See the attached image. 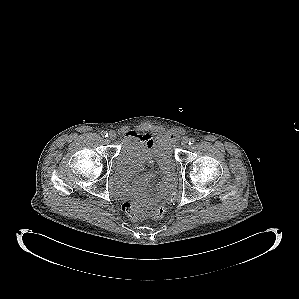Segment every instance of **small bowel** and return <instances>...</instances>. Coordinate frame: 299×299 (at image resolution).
I'll return each mask as SVG.
<instances>
[{"instance_id": "obj_1", "label": "small bowel", "mask_w": 299, "mask_h": 299, "mask_svg": "<svg viewBox=\"0 0 299 299\" xmlns=\"http://www.w3.org/2000/svg\"><path fill=\"white\" fill-rule=\"evenodd\" d=\"M127 137L135 138L141 145V150L131 160L132 173H140L143 171L146 164L153 163V157L150 154V148L154 142L155 137L152 134H137L130 131L126 134ZM158 166L163 173L164 177L162 181L156 187V193L154 195L155 200L164 198L169 191L175 185V177L173 173V163L166 159L158 160ZM153 173L142 175L135 183L133 187H130L126 182H123L122 188L126 196L134 198L138 195L144 194L149 190Z\"/></svg>"}]
</instances>
